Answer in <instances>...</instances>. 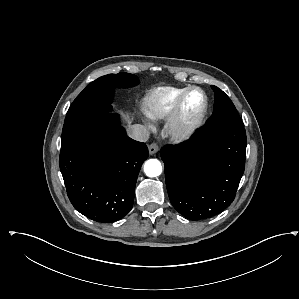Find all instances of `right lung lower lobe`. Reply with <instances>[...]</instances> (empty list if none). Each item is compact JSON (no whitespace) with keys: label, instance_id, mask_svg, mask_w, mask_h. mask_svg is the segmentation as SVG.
I'll return each instance as SVG.
<instances>
[{"label":"right lung lower lobe","instance_id":"1","mask_svg":"<svg viewBox=\"0 0 299 299\" xmlns=\"http://www.w3.org/2000/svg\"><path fill=\"white\" fill-rule=\"evenodd\" d=\"M116 121L117 115H103L60 152V170L72 205L101 223L117 221L131 210L140 167L148 157L146 144L129 138Z\"/></svg>","mask_w":299,"mask_h":299}]
</instances>
